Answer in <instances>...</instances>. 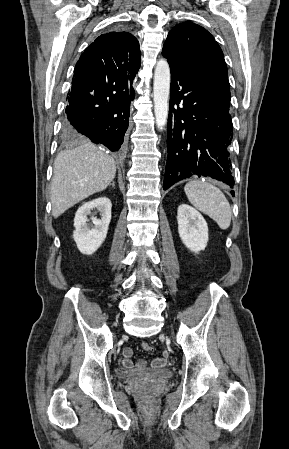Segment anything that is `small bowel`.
I'll use <instances>...</instances> for the list:
<instances>
[{
  "label": "small bowel",
  "instance_id": "small-bowel-1",
  "mask_svg": "<svg viewBox=\"0 0 289 449\" xmlns=\"http://www.w3.org/2000/svg\"><path fill=\"white\" fill-rule=\"evenodd\" d=\"M133 355V351L131 348L127 347L123 350V359H122V366L125 369H133V368H137V369H142L146 366V362L145 360H138L137 362H134L131 357ZM160 358H156L152 361V367L153 368H165L170 356L168 351L163 350L160 353Z\"/></svg>",
  "mask_w": 289,
  "mask_h": 449
}]
</instances>
